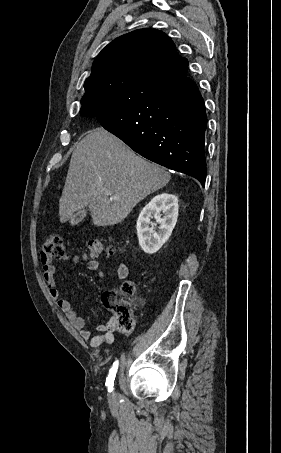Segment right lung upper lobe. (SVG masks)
Returning <instances> with one entry per match:
<instances>
[{
	"instance_id": "right-lung-upper-lobe-1",
	"label": "right lung upper lobe",
	"mask_w": 281,
	"mask_h": 453,
	"mask_svg": "<svg viewBox=\"0 0 281 453\" xmlns=\"http://www.w3.org/2000/svg\"><path fill=\"white\" fill-rule=\"evenodd\" d=\"M188 61L156 29L122 35L98 55L84 83L80 114L94 106L129 101L149 89L187 76Z\"/></svg>"
}]
</instances>
